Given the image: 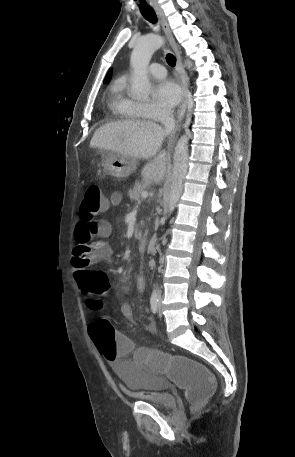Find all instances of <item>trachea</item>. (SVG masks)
Listing matches in <instances>:
<instances>
[{"instance_id":"trachea-1","label":"trachea","mask_w":295,"mask_h":457,"mask_svg":"<svg viewBox=\"0 0 295 457\" xmlns=\"http://www.w3.org/2000/svg\"><path fill=\"white\" fill-rule=\"evenodd\" d=\"M139 8H140L141 14L143 15V17L146 20H148L152 24L157 23V16H156L155 11L152 8L148 7L145 4L140 5ZM166 61L171 67H174L176 64V57L173 54L168 53L166 55Z\"/></svg>"}]
</instances>
